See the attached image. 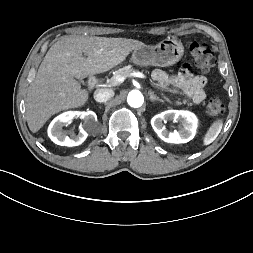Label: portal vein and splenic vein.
Here are the masks:
<instances>
[{
    "instance_id": "obj_1",
    "label": "portal vein and splenic vein",
    "mask_w": 253,
    "mask_h": 253,
    "mask_svg": "<svg viewBox=\"0 0 253 253\" xmlns=\"http://www.w3.org/2000/svg\"><path fill=\"white\" fill-rule=\"evenodd\" d=\"M131 76L138 77V78H145V75L141 72H133L131 73ZM126 79L125 75H117L110 79L111 84L116 86L120 83H122Z\"/></svg>"
}]
</instances>
